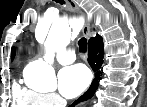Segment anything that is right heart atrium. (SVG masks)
<instances>
[{"label": "right heart atrium", "mask_w": 147, "mask_h": 107, "mask_svg": "<svg viewBox=\"0 0 147 107\" xmlns=\"http://www.w3.org/2000/svg\"><path fill=\"white\" fill-rule=\"evenodd\" d=\"M59 102V98L55 93L41 94V104L45 107L54 106Z\"/></svg>", "instance_id": "obj_1"}]
</instances>
